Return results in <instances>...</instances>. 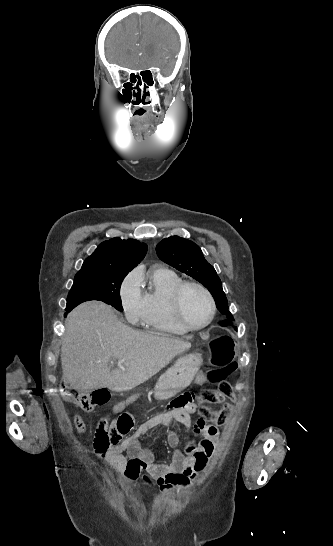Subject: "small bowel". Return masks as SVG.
Instances as JSON below:
<instances>
[{
    "mask_svg": "<svg viewBox=\"0 0 333 546\" xmlns=\"http://www.w3.org/2000/svg\"><path fill=\"white\" fill-rule=\"evenodd\" d=\"M206 374L203 370H195L192 377L195 380L193 384L197 387L202 384L205 386L207 383L205 381L202 383L201 380L205 378ZM130 396L128 400L132 402L133 397L135 398L137 395L132 393ZM221 402L225 404L227 401L223 399ZM125 405L124 402L117 401L112 407L113 414L121 413ZM231 408L232 405L226 403L224 407L217 411H211L207 408L201 410L202 415L212 423L205 426L203 429L204 437L197 445L188 442L183 449H180L178 448V436L174 433L170 434L169 444L175 450L169 464L156 463L153 454L141 448L139 440L149 429L174 423L182 424L185 433H189L193 428L190 413L193 411L194 406L191 404L174 407L168 412L158 414L142 423L130 436L121 440L108 451L107 463L109 468L115 473L125 474L127 478L132 480L139 478L142 472H146L163 491H170L173 488H187L197 479L214 457L220 443V432L217 426H226L227 417L231 414ZM122 415L129 418V432L132 431L133 419L127 413Z\"/></svg>",
    "mask_w": 333,
    "mask_h": 546,
    "instance_id": "obj_1",
    "label": "small bowel"
}]
</instances>
